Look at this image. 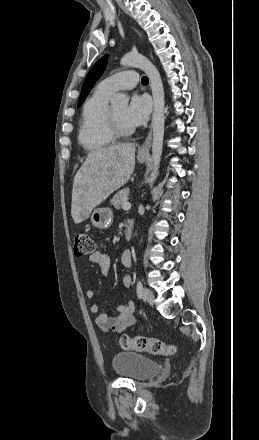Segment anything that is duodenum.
Returning <instances> with one entry per match:
<instances>
[{
  "label": "duodenum",
  "mask_w": 259,
  "mask_h": 440,
  "mask_svg": "<svg viewBox=\"0 0 259 440\" xmlns=\"http://www.w3.org/2000/svg\"><path fill=\"white\" fill-rule=\"evenodd\" d=\"M134 231V222L132 220L127 221L125 225V238L131 240Z\"/></svg>",
  "instance_id": "duodenum-1"
}]
</instances>
